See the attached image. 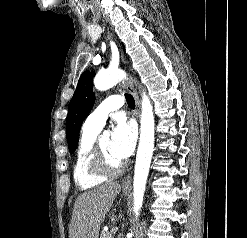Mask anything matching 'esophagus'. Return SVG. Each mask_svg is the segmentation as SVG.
Listing matches in <instances>:
<instances>
[{
	"label": "esophagus",
	"instance_id": "34e87169",
	"mask_svg": "<svg viewBox=\"0 0 247 238\" xmlns=\"http://www.w3.org/2000/svg\"><path fill=\"white\" fill-rule=\"evenodd\" d=\"M124 85L127 88V90L129 91V93L132 94V96L134 97L135 104H136V116H137V119L139 120V118H140V101H139L138 94H137L136 90L134 89V87L128 81H125ZM122 186H123V188H130L131 187V175H128L124 179Z\"/></svg>",
	"mask_w": 247,
	"mask_h": 238
}]
</instances>
